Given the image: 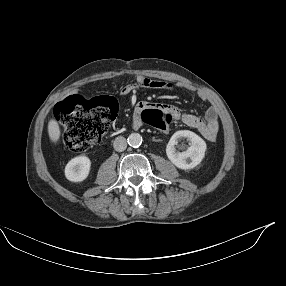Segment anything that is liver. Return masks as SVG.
Here are the masks:
<instances>
[{"instance_id":"liver-1","label":"liver","mask_w":286,"mask_h":286,"mask_svg":"<svg viewBox=\"0 0 286 286\" xmlns=\"http://www.w3.org/2000/svg\"><path fill=\"white\" fill-rule=\"evenodd\" d=\"M48 135L53 143H57L60 139V127L54 119H51L48 123Z\"/></svg>"}]
</instances>
